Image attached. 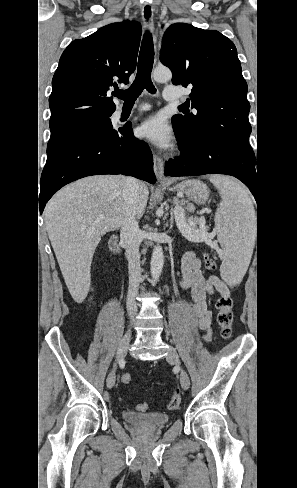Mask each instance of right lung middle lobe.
I'll use <instances>...</instances> for the list:
<instances>
[{"label": "right lung middle lobe", "instance_id": "dd1d6c3e", "mask_svg": "<svg viewBox=\"0 0 297 488\" xmlns=\"http://www.w3.org/2000/svg\"><path fill=\"white\" fill-rule=\"evenodd\" d=\"M112 130L111 120L108 118L96 119L86 121L61 131L51 133L50 140L47 145V154L54 151L63 142L74 138L78 135L90 132H105Z\"/></svg>", "mask_w": 297, "mask_h": 488}]
</instances>
